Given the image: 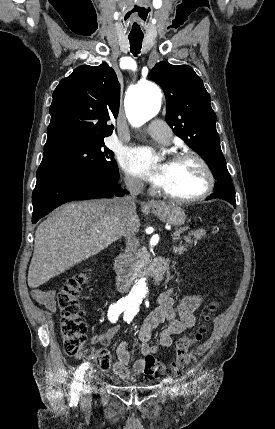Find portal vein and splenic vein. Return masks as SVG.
<instances>
[{
  "label": "portal vein and splenic vein",
  "instance_id": "obj_1",
  "mask_svg": "<svg viewBox=\"0 0 275 429\" xmlns=\"http://www.w3.org/2000/svg\"><path fill=\"white\" fill-rule=\"evenodd\" d=\"M177 236H180V234L179 233L174 234V238L173 239H176Z\"/></svg>",
  "mask_w": 275,
  "mask_h": 429
}]
</instances>
